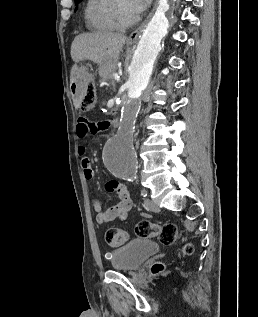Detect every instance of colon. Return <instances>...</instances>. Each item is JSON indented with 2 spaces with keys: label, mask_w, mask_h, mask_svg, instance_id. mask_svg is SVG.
<instances>
[{
  "label": "colon",
  "mask_w": 258,
  "mask_h": 317,
  "mask_svg": "<svg viewBox=\"0 0 258 317\" xmlns=\"http://www.w3.org/2000/svg\"><path fill=\"white\" fill-rule=\"evenodd\" d=\"M96 102V87L93 81L85 83L81 88V106L91 109ZM135 234L140 238H158L163 245H172L178 237L177 226L173 223L155 224L148 221L138 222L134 228ZM128 233L118 228H110L105 235V240L112 247H119L128 240ZM193 251V246L188 243L183 247V252L189 254ZM163 270L161 263H156L152 267L153 273Z\"/></svg>",
  "instance_id": "colon-1"
}]
</instances>
